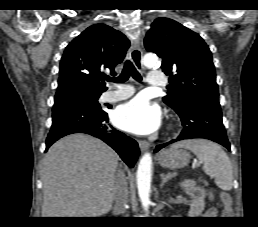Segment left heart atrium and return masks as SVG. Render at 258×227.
<instances>
[{
  "label": "left heart atrium",
  "mask_w": 258,
  "mask_h": 227,
  "mask_svg": "<svg viewBox=\"0 0 258 227\" xmlns=\"http://www.w3.org/2000/svg\"><path fill=\"white\" fill-rule=\"evenodd\" d=\"M161 112L147 98L139 96L122 105L114 113L115 124L135 134H150L160 125Z\"/></svg>",
  "instance_id": "1"
}]
</instances>
